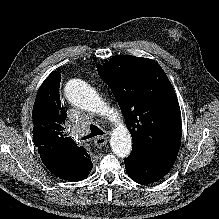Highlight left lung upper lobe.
<instances>
[{"mask_svg": "<svg viewBox=\"0 0 219 219\" xmlns=\"http://www.w3.org/2000/svg\"><path fill=\"white\" fill-rule=\"evenodd\" d=\"M124 115L134 150L177 156L181 113L176 93L158 63L148 58L117 55L98 65Z\"/></svg>", "mask_w": 219, "mask_h": 219, "instance_id": "left-lung-upper-lobe-1", "label": "left lung upper lobe"}]
</instances>
